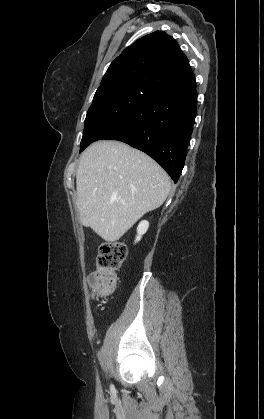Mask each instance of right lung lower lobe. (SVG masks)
Returning a JSON list of instances; mask_svg holds the SVG:
<instances>
[{"mask_svg":"<svg viewBox=\"0 0 264 419\" xmlns=\"http://www.w3.org/2000/svg\"><path fill=\"white\" fill-rule=\"evenodd\" d=\"M196 106V84L154 95L101 139L119 140L145 152L177 182L187 155Z\"/></svg>","mask_w":264,"mask_h":419,"instance_id":"obj_1","label":"right lung lower lobe"}]
</instances>
